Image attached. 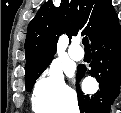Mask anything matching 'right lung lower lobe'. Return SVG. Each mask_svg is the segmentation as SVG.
<instances>
[{"instance_id": "98d812e1", "label": "right lung lower lobe", "mask_w": 121, "mask_h": 113, "mask_svg": "<svg viewBox=\"0 0 121 113\" xmlns=\"http://www.w3.org/2000/svg\"><path fill=\"white\" fill-rule=\"evenodd\" d=\"M93 59L89 73L99 83V90L92 96L84 95L78 83V105L81 113H107L119 95L121 84V27L118 24L107 34L91 42ZM85 74V67H78L77 80Z\"/></svg>"}]
</instances>
